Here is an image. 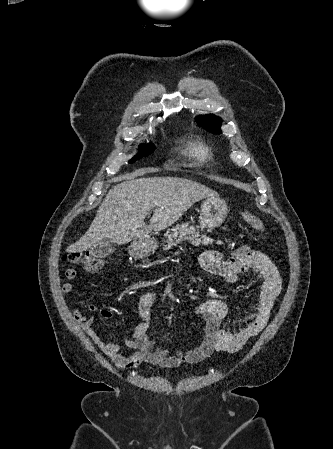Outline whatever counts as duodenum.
<instances>
[{
    "label": "duodenum",
    "mask_w": 333,
    "mask_h": 449,
    "mask_svg": "<svg viewBox=\"0 0 333 449\" xmlns=\"http://www.w3.org/2000/svg\"><path fill=\"white\" fill-rule=\"evenodd\" d=\"M148 247H149V240L145 239L137 246L136 253L142 256L147 252Z\"/></svg>",
    "instance_id": "obj_1"
}]
</instances>
